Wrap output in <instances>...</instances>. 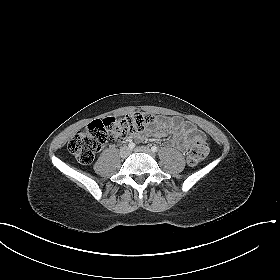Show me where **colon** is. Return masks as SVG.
<instances>
[{
	"label": "colon",
	"mask_w": 280,
	"mask_h": 280,
	"mask_svg": "<svg viewBox=\"0 0 280 280\" xmlns=\"http://www.w3.org/2000/svg\"><path fill=\"white\" fill-rule=\"evenodd\" d=\"M156 121L155 114L144 112H136L121 118L96 120L71 138L68 149L78 162L89 164L107 142L121 141L129 134L140 132ZM208 151L206 139L202 135H196L188 151V163L197 165L205 159Z\"/></svg>",
	"instance_id": "5ec220e1"
}]
</instances>
